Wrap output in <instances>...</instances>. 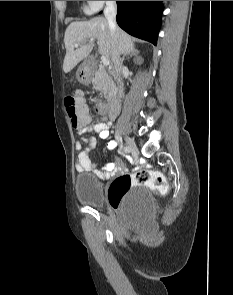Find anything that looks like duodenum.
Returning <instances> with one entry per match:
<instances>
[{
  "mask_svg": "<svg viewBox=\"0 0 233 295\" xmlns=\"http://www.w3.org/2000/svg\"><path fill=\"white\" fill-rule=\"evenodd\" d=\"M112 73L114 75H117L118 70L113 69ZM121 98H122V92L120 91V89L116 88L112 92L111 97H110L109 113L111 116H115L117 114L119 107H120Z\"/></svg>",
  "mask_w": 233,
  "mask_h": 295,
  "instance_id": "obj_1",
  "label": "duodenum"
}]
</instances>
